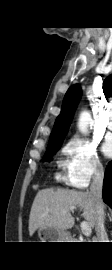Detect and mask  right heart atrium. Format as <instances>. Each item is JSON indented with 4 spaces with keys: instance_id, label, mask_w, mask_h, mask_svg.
<instances>
[{
    "instance_id": "right-heart-atrium-1",
    "label": "right heart atrium",
    "mask_w": 112,
    "mask_h": 270,
    "mask_svg": "<svg viewBox=\"0 0 112 270\" xmlns=\"http://www.w3.org/2000/svg\"><path fill=\"white\" fill-rule=\"evenodd\" d=\"M61 166L65 182L74 188H85L94 178L104 174V166L96 145L81 138L70 139L62 148Z\"/></svg>"
}]
</instances>
